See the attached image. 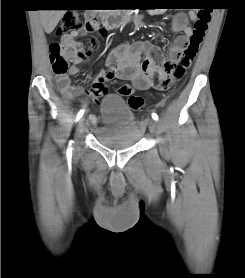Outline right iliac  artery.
<instances>
[{"instance_id": "1", "label": "right iliac artery", "mask_w": 245, "mask_h": 278, "mask_svg": "<svg viewBox=\"0 0 245 278\" xmlns=\"http://www.w3.org/2000/svg\"><path fill=\"white\" fill-rule=\"evenodd\" d=\"M83 114H84V110H80L77 114L76 120L78 121L83 116ZM72 143L73 141H70L67 148V153L70 155L72 154V147H71Z\"/></svg>"}]
</instances>
